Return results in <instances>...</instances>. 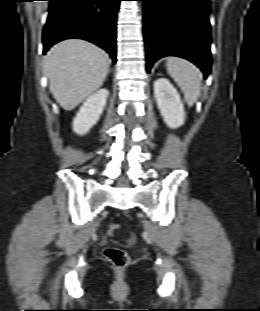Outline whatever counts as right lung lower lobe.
Segmentation results:
<instances>
[{"label": "right lung lower lobe", "instance_id": "obj_1", "mask_svg": "<svg viewBox=\"0 0 260 311\" xmlns=\"http://www.w3.org/2000/svg\"><path fill=\"white\" fill-rule=\"evenodd\" d=\"M43 54L55 43L80 38L106 50L116 63V21L121 0H48Z\"/></svg>", "mask_w": 260, "mask_h": 311}]
</instances>
